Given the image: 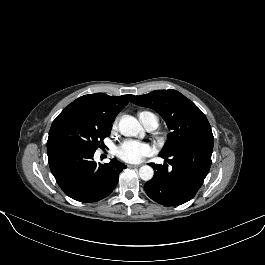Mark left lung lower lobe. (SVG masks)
<instances>
[{
	"label": "left lung lower lobe",
	"instance_id": "1",
	"mask_svg": "<svg viewBox=\"0 0 265 265\" xmlns=\"http://www.w3.org/2000/svg\"><path fill=\"white\" fill-rule=\"evenodd\" d=\"M213 134L196 136L172 153H161L167 163L152 164L153 178L144 185L147 195L157 203L177 206L191 200L203 184L211 166Z\"/></svg>",
	"mask_w": 265,
	"mask_h": 265
}]
</instances>
